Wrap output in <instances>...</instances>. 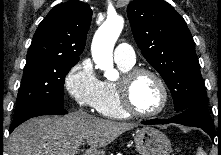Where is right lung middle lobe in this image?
Returning a JSON list of instances; mask_svg holds the SVG:
<instances>
[{
	"instance_id": "right-lung-middle-lobe-1",
	"label": "right lung middle lobe",
	"mask_w": 221,
	"mask_h": 155,
	"mask_svg": "<svg viewBox=\"0 0 221 155\" xmlns=\"http://www.w3.org/2000/svg\"><path fill=\"white\" fill-rule=\"evenodd\" d=\"M76 63L47 58L26 59L14 120L43 107H62L64 78Z\"/></svg>"
}]
</instances>
